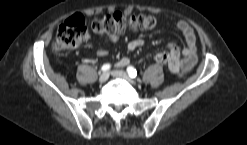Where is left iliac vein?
<instances>
[{"instance_id": "4c4485c4", "label": "left iliac vein", "mask_w": 247, "mask_h": 145, "mask_svg": "<svg viewBox=\"0 0 247 145\" xmlns=\"http://www.w3.org/2000/svg\"><path fill=\"white\" fill-rule=\"evenodd\" d=\"M114 77H117V78H122L124 80H126L127 82H129L130 84L134 85L136 84V82L131 79L128 74L124 71H120V70H114L112 71L111 73Z\"/></svg>"}]
</instances>
